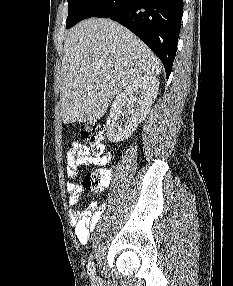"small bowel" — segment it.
Masks as SVG:
<instances>
[{
	"instance_id": "small-bowel-1",
	"label": "small bowel",
	"mask_w": 233,
	"mask_h": 286,
	"mask_svg": "<svg viewBox=\"0 0 233 286\" xmlns=\"http://www.w3.org/2000/svg\"><path fill=\"white\" fill-rule=\"evenodd\" d=\"M109 161V156L102 158L91 156L89 150L81 142H74L67 152V176L70 180L74 179L80 167L88 165H105ZM69 194V204L77 206L83 188L72 181L66 185ZM103 213V205L96 201L90 202L83 210L73 209L69 213L70 223L74 228L75 235L80 243L85 244L90 232L95 228Z\"/></svg>"
}]
</instances>
